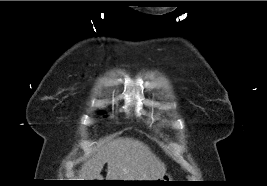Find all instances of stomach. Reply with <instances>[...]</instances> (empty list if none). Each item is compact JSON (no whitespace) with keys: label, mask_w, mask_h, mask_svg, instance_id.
Masks as SVG:
<instances>
[{"label":"stomach","mask_w":267,"mask_h":186,"mask_svg":"<svg viewBox=\"0 0 267 186\" xmlns=\"http://www.w3.org/2000/svg\"><path fill=\"white\" fill-rule=\"evenodd\" d=\"M170 179H171L170 175L164 174L161 178H159L157 180H154V181H157V182H152L154 184H151V185H163L164 182H160V181H172Z\"/></svg>","instance_id":"obj_1"}]
</instances>
